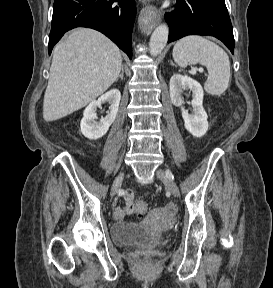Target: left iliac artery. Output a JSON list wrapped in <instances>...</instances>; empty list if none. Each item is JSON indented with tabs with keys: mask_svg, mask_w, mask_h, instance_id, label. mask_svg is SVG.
<instances>
[{
	"mask_svg": "<svg viewBox=\"0 0 273 288\" xmlns=\"http://www.w3.org/2000/svg\"><path fill=\"white\" fill-rule=\"evenodd\" d=\"M166 172H167V174H169L170 178H172V179L174 178L172 173L169 170H167Z\"/></svg>",
	"mask_w": 273,
	"mask_h": 288,
	"instance_id": "1",
	"label": "left iliac artery"
}]
</instances>
